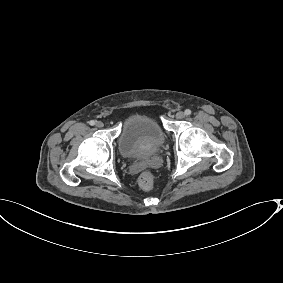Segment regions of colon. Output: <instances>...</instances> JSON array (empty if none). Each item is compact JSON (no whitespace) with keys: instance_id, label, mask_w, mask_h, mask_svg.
I'll list each match as a JSON object with an SVG mask.
<instances>
[{"instance_id":"colon-1","label":"colon","mask_w":283,"mask_h":283,"mask_svg":"<svg viewBox=\"0 0 283 283\" xmlns=\"http://www.w3.org/2000/svg\"><path fill=\"white\" fill-rule=\"evenodd\" d=\"M138 183L140 187L144 190H151L154 187V178L151 172L145 171L140 174Z\"/></svg>"}]
</instances>
